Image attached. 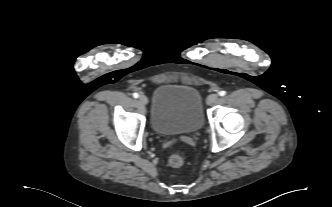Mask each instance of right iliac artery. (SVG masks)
I'll use <instances>...</instances> for the list:
<instances>
[{
	"instance_id": "right-iliac-artery-1",
	"label": "right iliac artery",
	"mask_w": 332,
	"mask_h": 207,
	"mask_svg": "<svg viewBox=\"0 0 332 207\" xmlns=\"http://www.w3.org/2000/svg\"><path fill=\"white\" fill-rule=\"evenodd\" d=\"M133 97H134V98H138V97H139V94H138V93H133Z\"/></svg>"
}]
</instances>
